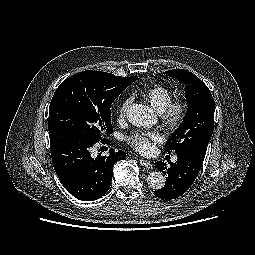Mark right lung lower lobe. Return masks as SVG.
I'll use <instances>...</instances> for the list:
<instances>
[{
	"label": "right lung lower lobe",
	"instance_id": "1",
	"mask_svg": "<svg viewBox=\"0 0 255 255\" xmlns=\"http://www.w3.org/2000/svg\"><path fill=\"white\" fill-rule=\"evenodd\" d=\"M51 157L54 169L63 186L76 198L96 200L108 191L113 166L126 159L123 151H110L109 156L92 158L90 148L96 142L66 129L50 132Z\"/></svg>",
	"mask_w": 255,
	"mask_h": 255
}]
</instances>
